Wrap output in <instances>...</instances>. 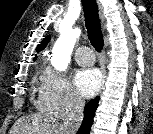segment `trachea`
I'll list each match as a JSON object with an SVG mask.
<instances>
[{"label":"trachea","instance_id":"1","mask_svg":"<svg viewBox=\"0 0 153 134\" xmlns=\"http://www.w3.org/2000/svg\"><path fill=\"white\" fill-rule=\"evenodd\" d=\"M82 3L88 38L95 50L100 52L103 48L104 41L96 0H82Z\"/></svg>","mask_w":153,"mask_h":134}]
</instances>
